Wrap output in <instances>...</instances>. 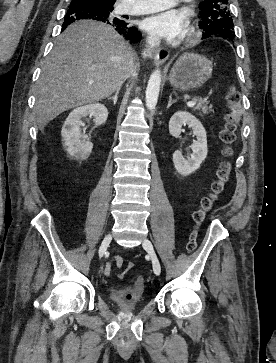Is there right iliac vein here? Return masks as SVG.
<instances>
[{"instance_id":"63e3f726","label":"right iliac vein","mask_w":276,"mask_h":363,"mask_svg":"<svg viewBox=\"0 0 276 363\" xmlns=\"http://www.w3.org/2000/svg\"><path fill=\"white\" fill-rule=\"evenodd\" d=\"M111 240H112L111 234L106 235L105 238L103 239L101 246L99 248V257L100 258L105 254Z\"/></svg>"}]
</instances>
